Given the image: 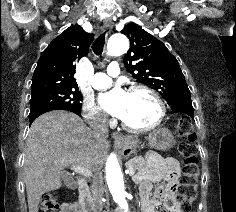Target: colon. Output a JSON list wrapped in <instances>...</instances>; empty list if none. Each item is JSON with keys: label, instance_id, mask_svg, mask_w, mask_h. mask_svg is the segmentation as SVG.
<instances>
[{"label": "colon", "instance_id": "5ec220e1", "mask_svg": "<svg viewBox=\"0 0 236 212\" xmlns=\"http://www.w3.org/2000/svg\"><path fill=\"white\" fill-rule=\"evenodd\" d=\"M176 134L181 138L179 153L183 158V175L178 190V198L182 212H190L193 203L198 197L199 161L195 154L196 136L192 129V121L188 117L180 118ZM60 204L55 195L47 193L41 198L37 212H58Z\"/></svg>", "mask_w": 236, "mask_h": 212}]
</instances>
